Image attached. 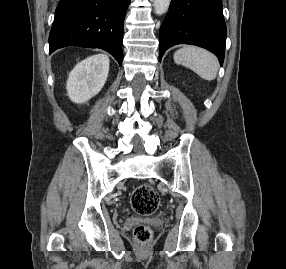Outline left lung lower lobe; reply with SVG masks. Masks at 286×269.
Listing matches in <instances>:
<instances>
[{"instance_id":"0a47b994","label":"left lung lower lobe","mask_w":286,"mask_h":269,"mask_svg":"<svg viewBox=\"0 0 286 269\" xmlns=\"http://www.w3.org/2000/svg\"><path fill=\"white\" fill-rule=\"evenodd\" d=\"M226 25L222 0H172L159 33V59L176 44L197 45L224 60Z\"/></svg>"}]
</instances>
